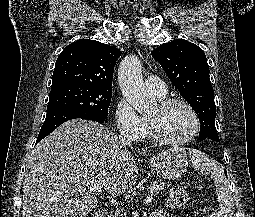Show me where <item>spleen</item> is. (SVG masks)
<instances>
[{"instance_id":"obj_1","label":"spleen","mask_w":255,"mask_h":217,"mask_svg":"<svg viewBox=\"0 0 255 217\" xmlns=\"http://www.w3.org/2000/svg\"><path fill=\"white\" fill-rule=\"evenodd\" d=\"M193 165L195 169L201 170L202 172L212 171L215 180H222L223 174L221 169L216 163L210 161L205 155L199 154L193 158Z\"/></svg>"}]
</instances>
